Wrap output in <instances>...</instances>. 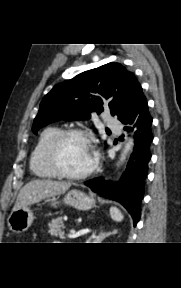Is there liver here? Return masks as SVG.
Returning <instances> with one entry per match:
<instances>
[{"mask_svg": "<svg viewBox=\"0 0 181 288\" xmlns=\"http://www.w3.org/2000/svg\"><path fill=\"white\" fill-rule=\"evenodd\" d=\"M70 186L71 183L69 182L40 179L32 180L20 190L12 212L19 208L38 203L45 198L65 193Z\"/></svg>", "mask_w": 181, "mask_h": 288, "instance_id": "6515ba94", "label": "liver"}]
</instances>
